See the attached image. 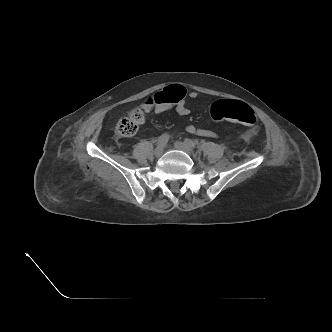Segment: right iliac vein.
Instances as JSON below:
<instances>
[{
	"mask_svg": "<svg viewBox=\"0 0 332 332\" xmlns=\"http://www.w3.org/2000/svg\"><path fill=\"white\" fill-rule=\"evenodd\" d=\"M163 153H164V145H158L154 151L155 156L160 157L162 156Z\"/></svg>",
	"mask_w": 332,
	"mask_h": 332,
	"instance_id": "63e3f726",
	"label": "right iliac vein"
}]
</instances>
